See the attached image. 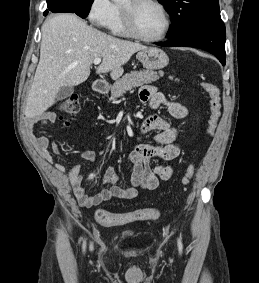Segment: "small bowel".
<instances>
[{
	"mask_svg": "<svg viewBox=\"0 0 259 283\" xmlns=\"http://www.w3.org/2000/svg\"><path fill=\"white\" fill-rule=\"evenodd\" d=\"M139 97L142 103H148L153 109L162 105L166 106L175 118L182 119L187 115V109L183 105L168 100L164 94L158 92L152 86L143 87ZM56 121L57 115L53 112H45L32 116L26 121V131L42 158L46 162L53 164L57 172L65 173L66 180L82 206H97L112 198L135 199L138 196L139 188L155 190L158 187L159 181L170 180L174 175L173 168L170 165L161 163L151 167L150 163L154 158L168 162L179 156L180 147L176 143L178 131L167 120L157 115H152L143 122L141 132H154V144L136 143L128 155L129 161L133 166L131 186H117L118 175L112 167H108L102 179L107 187L94 196H88L83 187L85 175L81 173L80 167L78 165L66 167L62 164L54 163L49 151L50 144L48 139L44 136H37L34 133V126L37 123L49 124ZM52 150L55 153L58 152V147L55 143H52ZM79 154L82 158L92 163L97 159V153L93 150L82 149L79 151ZM87 178L93 179L94 175L90 174Z\"/></svg>",
	"mask_w": 259,
	"mask_h": 283,
	"instance_id": "small-bowel-1",
	"label": "small bowel"
}]
</instances>
